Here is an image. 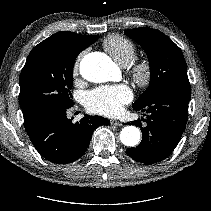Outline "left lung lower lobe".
Instances as JSON below:
<instances>
[{"mask_svg": "<svg viewBox=\"0 0 211 211\" xmlns=\"http://www.w3.org/2000/svg\"><path fill=\"white\" fill-rule=\"evenodd\" d=\"M191 96L189 87L170 88L135 110L146 111V119L132 121L142 131L141 143L135 148H128L127 154L132 159L152 164L167 158L177 146L187 122L188 103ZM141 121L146 122L142 127Z\"/></svg>", "mask_w": 211, "mask_h": 211, "instance_id": "left-lung-lower-lobe-1", "label": "left lung lower lobe"}]
</instances>
